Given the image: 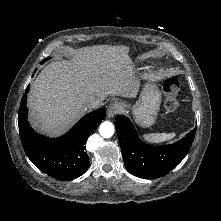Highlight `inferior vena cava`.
I'll return each mask as SVG.
<instances>
[{"label":"inferior vena cava","instance_id":"inferior-vena-cava-1","mask_svg":"<svg viewBox=\"0 0 221 221\" xmlns=\"http://www.w3.org/2000/svg\"><path fill=\"white\" fill-rule=\"evenodd\" d=\"M101 101L102 100L92 98L87 102L86 108L87 109H95L101 105Z\"/></svg>","mask_w":221,"mask_h":221}]
</instances>
